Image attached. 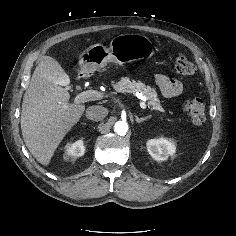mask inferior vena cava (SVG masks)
Here are the masks:
<instances>
[{"label": "inferior vena cava", "mask_w": 236, "mask_h": 236, "mask_svg": "<svg viewBox=\"0 0 236 236\" xmlns=\"http://www.w3.org/2000/svg\"><path fill=\"white\" fill-rule=\"evenodd\" d=\"M108 111L105 107L99 105H93L87 108L86 116L93 121H100L106 117Z\"/></svg>", "instance_id": "obj_1"}]
</instances>
